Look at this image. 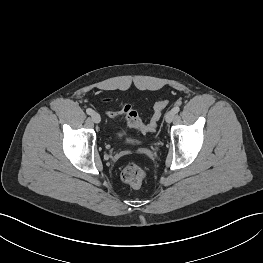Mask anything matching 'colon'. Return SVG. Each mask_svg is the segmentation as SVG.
Returning a JSON list of instances; mask_svg holds the SVG:
<instances>
[{
	"mask_svg": "<svg viewBox=\"0 0 263 263\" xmlns=\"http://www.w3.org/2000/svg\"><path fill=\"white\" fill-rule=\"evenodd\" d=\"M168 104V99L163 98L155 102L153 107V115L150 122H143L138 113L128 103H121L117 110V113L123 115L127 124L130 127L137 128L142 132H152L156 128L157 122L161 117V114ZM145 171L142 167L134 162L127 163L121 173L122 181L133 188L140 187L145 179Z\"/></svg>",
	"mask_w": 263,
	"mask_h": 263,
	"instance_id": "5ec220e1",
	"label": "colon"
}]
</instances>
